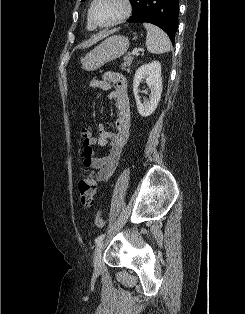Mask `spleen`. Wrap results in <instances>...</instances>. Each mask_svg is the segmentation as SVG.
I'll use <instances>...</instances> for the list:
<instances>
[{
    "instance_id": "obj_1",
    "label": "spleen",
    "mask_w": 245,
    "mask_h": 314,
    "mask_svg": "<svg viewBox=\"0 0 245 314\" xmlns=\"http://www.w3.org/2000/svg\"><path fill=\"white\" fill-rule=\"evenodd\" d=\"M147 30L146 48L149 53L162 54L171 50V42L167 34L150 23L143 24Z\"/></svg>"
}]
</instances>
